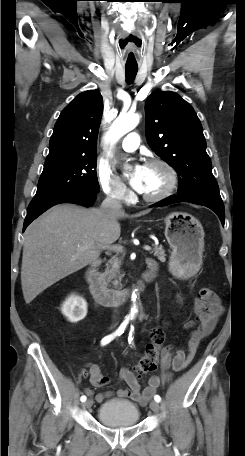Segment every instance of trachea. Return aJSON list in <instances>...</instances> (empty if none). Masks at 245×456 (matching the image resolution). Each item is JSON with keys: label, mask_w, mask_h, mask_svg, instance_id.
I'll list each match as a JSON object with an SVG mask.
<instances>
[{"label": "trachea", "mask_w": 245, "mask_h": 456, "mask_svg": "<svg viewBox=\"0 0 245 456\" xmlns=\"http://www.w3.org/2000/svg\"><path fill=\"white\" fill-rule=\"evenodd\" d=\"M137 71H138V67H136V66H134V67L125 66L126 82L128 84L133 83V81L136 77Z\"/></svg>", "instance_id": "1"}]
</instances>
